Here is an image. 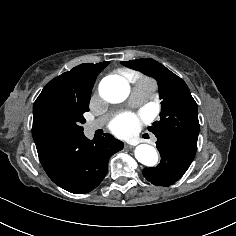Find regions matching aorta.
Instances as JSON below:
<instances>
[{"mask_svg": "<svg viewBox=\"0 0 236 236\" xmlns=\"http://www.w3.org/2000/svg\"><path fill=\"white\" fill-rule=\"evenodd\" d=\"M99 93L110 103H120L128 97L130 86L123 77L108 76L101 81ZM135 158L145 166H155L158 163L157 151L148 144H140L135 148Z\"/></svg>", "mask_w": 236, "mask_h": 236, "instance_id": "1", "label": "aorta"}]
</instances>
